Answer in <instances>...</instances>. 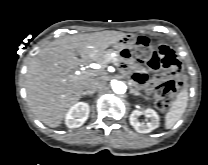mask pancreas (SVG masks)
I'll list each match as a JSON object with an SVG mask.
<instances>
[{"label": "pancreas", "instance_id": "1", "mask_svg": "<svg viewBox=\"0 0 208 165\" xmlns=\"http://www.w3.org/2000/svg\"><path fill=\"white\" fill-rule=\"evenodd\" d=\"M99 62L102 64V66H106L109 62H113L115 65H117L121 62V57L112 49H108L104 51Z\"/></svg>", "mask_w": 208, "mask_h": 165}]
</instances>
